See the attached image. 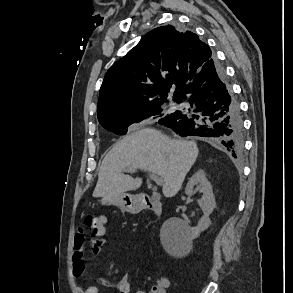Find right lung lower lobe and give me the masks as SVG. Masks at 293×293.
I'll return each mask as SVG.
<instances>
[{
  "label": "right lung lower lobe",
  "instance_id": "right-lung-lower-lobe-1",
  "mask_svg": "<svg viewBox=\"0 0 293 293\" xmlns=\"http://www.w3.org/2000/svg\"><path fill=\"white\" fill-rule=\"evenodd\" d=\"M189 103L158 123L181 136L212 137L237 158L243 150V122L224 70L209 60L175 99Z\"/></svg>",
  "mask_w": 293,
  "mask_h": 293
}]
</instances>
